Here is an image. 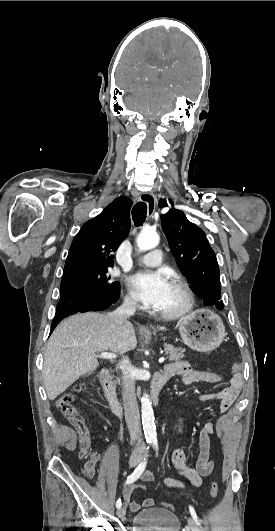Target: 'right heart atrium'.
<instances>
[{
    "label": "right heart atrium",
    "mask_w": 275,
    "mask_h": 531,
    "mask_svg": "<svg viewBox=\"0 0 275 531\" xmlns=\"http://www.w3.org/2000/svg\"><path fill=\"white\" fill-rule=\"evenodd\" d=\"M125 305L130 310H136L138 308V302L135 296L132 293H128L125 297Z\"/></svg>",
    "instance_id": "d8ad5b80"
}]
</instances>
